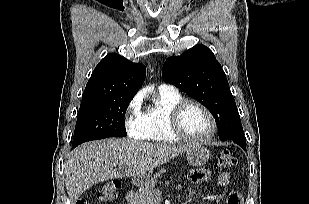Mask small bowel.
Listing matches in <instances>:
<instances>
[{
  "label": "small bowel",
  "instance_id": "obj_1",
  "mask_svg": "<svg viewBox=\"0 0 309 204\" xmlns=\"http://www.w3.org/2000/svg\"><path fill=\"white\" fill-rule=\"evenodd\" d=\"M189 177H190L191 181H193L195 183L206 182L210 179L211 172L207 169H198V170L192 171L190 173ZM231 178H232L231 172H229V171L222 172L221 174H219V176L217 178V182L221 187H225L229 184ZM232 197H236L239 200H241L240 194L233 192V193L230 194V196L228 198V204H236V203L230 201V199Z\"/></svg>",
  "mask_w": 309,
  "mask_h": 204
}]
</instances>
